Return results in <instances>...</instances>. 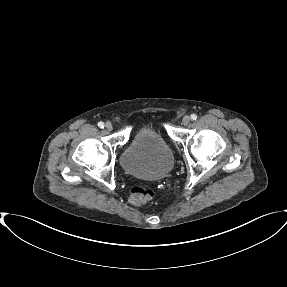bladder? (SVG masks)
Returning a JSON list of instances; mask_svg holds the SVG:
<instances>
[{
  "label": "bladder",
  "instance_id": "bladder-1",
  "mask_svg": "<svg viewBox=\"0 0 287 287\" xmlns=\"http://www.w3.org/2000/svg\"><path fill=\"white\" fill-rule=\"evenodd\" d=\"M174 164L173 153L153 128H141L121 155V165L129 174L148 180L164 178Z\"/></svg>",
  "mask_w": 287,
  "mask_h": 287
}]
</instances>
